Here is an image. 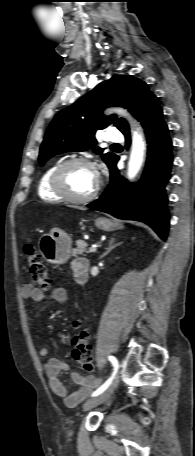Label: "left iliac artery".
I'll list each match as a JSON object with an SVG mask.
<instances>
[{
    "instance_id": "1",
    "label": "left iliac artery",
    "mask_w": 195,
    "mask_h": 456,
    "mask_svg": "<svg viewBox=\"0 0 195 456\" xmlns=\"http://www.w3.org/2000/svg\"><path fill=\"white\" fill-rule=\"evenodd\" d=\"M108 359L114 367V372L112 373L111 377L101 387H99L95 392H93L92 397H95V396L101 394L110 385V383L112 382V380L117 372V369H118L117 359L114 356H108Z\"/></svg>"
}]
</instances>
